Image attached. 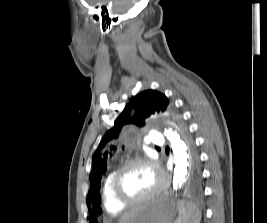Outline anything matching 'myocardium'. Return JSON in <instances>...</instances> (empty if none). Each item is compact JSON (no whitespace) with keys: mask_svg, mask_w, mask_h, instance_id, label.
I'll list each match as a JSON object with an SVG mask.
<instances>
[{"mask_svg":"<svg viewBox=\"0 0 267 223\" xmlns=\"http://www.w3.org/2000/svg\"><path fill=\"white\" fill-rule=\"evenodd\" d=\"M147 165L149 166L154 173L157 176V185L155 188L149 192L148 194L138 198V199H127L122 196L120 189H119V184L120 180L123 176V174L132 166L135 165ZM165 187V175L164 172L162 171L161 167L157 163L156 160L147 157V156H140V157H135L127 162H125L114 174L112 181H111V191L116 199V201L124 206H135L139 205L142 203H145L153 198H155Z\"/></svg>","mask_w":267,"mask_h":223,"instance_id":"1","label":"myocardium"}]
</instances>
